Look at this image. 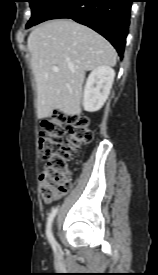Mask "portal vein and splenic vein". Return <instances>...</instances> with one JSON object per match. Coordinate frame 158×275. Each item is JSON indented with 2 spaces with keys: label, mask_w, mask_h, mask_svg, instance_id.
I'll list each match as a JSON object with an SVG mask.
<instances>
[{
  "label": "portal vein and splenic vein",
  "mask_w": 158,
  "mask_h": 275,
  "mask_svg": "<svg viewBox=\"0 0 158 275\" xmlns=\"http://www.w3.org/2000/svg\"><path fill=\"white\" fill-rule=\"evenodd\" d=\"M52 70H53L54 72H57V71L59 70V68L55 66V67L52 68Z\"/></svg>",
  "instance_id": "portal-vein-and-splenic-vein-1"
}]
</instances>
